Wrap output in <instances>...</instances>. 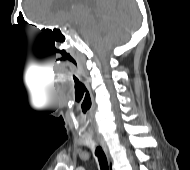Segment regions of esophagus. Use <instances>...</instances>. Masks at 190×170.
<instances>
[{
	"instance_id": "1",
	"label": "esophagus",
	"mask_w": 190,
	"mask_h": 170,
	"mask_svg": "<svg viewBox=\"0 0 190 170\" xmlns=\"http://www.w3.org/2000/svg\"><path fill=\"white\" fill-rule=\"evenodd\" d=\"M97 139H98L100 145L102 146L103 150L107 153V146H106L104 140L101 137H98Z\"/></svg>"
}]
</instances>
